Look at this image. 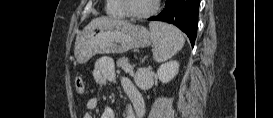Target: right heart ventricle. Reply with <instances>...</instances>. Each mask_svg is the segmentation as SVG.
<instances>
[{"label":"right heart ventricle","instance_id":"1","mask_svg":"<svg viewBox=\"0 0 273 118\" xmlns=\"http://www.w3.org/2000/svg\"><path fill=\"white\" fill-rule=\"evenodd\" d=\"M106 12L112 16H125L126 12L122 6L121 0H107Z\"/></svg>","mask_w":273,"mask_h":118}]
</instances>
